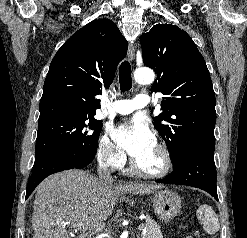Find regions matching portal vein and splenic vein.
Listing matches in <instances>:
<instances>
[{
    "label": "portal vein and splenic vein",
    "mask_w": 247,
    "mask_h": 238,
    "mask_svg": "<svg viewBox=\"0 0 247 238\" xmlns=\"http://www.w3.org/2000/svg\"><path fill=\"white\" fill-rule=\"evenodd\" d=\"M144 225L145 224H140L138 227V230L145 232ZM72 227L79 229V230H86V225L84 223H77V224L73 225Z\"/></svg>",
    "instance_id": "obj_1"
}]
</instances>
